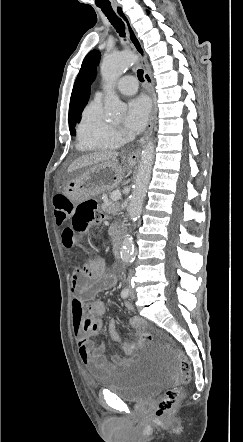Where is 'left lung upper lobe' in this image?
<instances>
[{"label": "left lung upper lobe", "mask_w": 243, "mask_h": 442, "mask_svg": "<svg viewBox=\"0 0 243 442\" xmlns=\"http://www.w3.org/2000/svg\"><path fill=\"white\" fill-rule=\"evenodd\" d=\"M100 52L97 50H93L87 54L85 59L83 60L79 75H84L86 79L85 89L81 98V102L79 105V109L77 112V121H80L81 112L84 109L87 101L89 99L90 93V83L95 78L96 75V66L100 60ZM74 134V132H72Z\"/></svg>", "instance_id": "1"}]
</instances>
